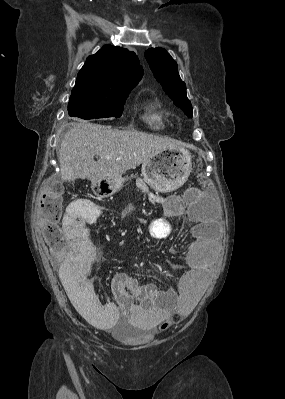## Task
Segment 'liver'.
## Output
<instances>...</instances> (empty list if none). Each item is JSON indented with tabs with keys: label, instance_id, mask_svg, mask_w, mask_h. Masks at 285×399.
Segmentation results:
<instances>
[{
	"label": "liver",
	"instance_id": "liver-1",
	"mask_svg": "<svg viewBox=\"0 0 285 399\" xmlns=\"http://www.w3.org/2000/svg\"><path fill=\"white\" fill-rule=\"evenodd\" d=\"M175 148L178 147L172 140L157 135L78 122L61 142L58 155L61 178L92 181L107 175L122 176L160 151ZM95 155L98 161L94 160Z\"/></svg>",
	"mask_w": 285,
	"mask_h": 399
}]
</instances>
